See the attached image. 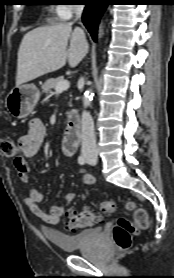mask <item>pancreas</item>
Returning <instances> with one entry per match:
<instances>
[{"instance_id":"obj_1","label":"pancreas","mask_w":174,"mask_h":278,"mask_svg":"<svg viewBox=\"0 0 174 278\" xmlns=\"http://www.w3.org/2000/svg\"><path fill=\"white\" fill-rule=\"evenodd\" d=\"M63 77H58L56 79H48L45 81V83L42 85V91L43 93H51L53 89L56 88L59 82L63 81Z\"/></svg>"}]
</instances>
